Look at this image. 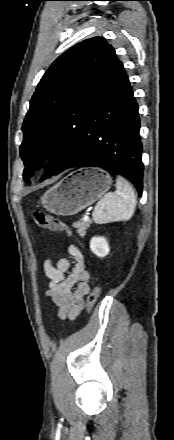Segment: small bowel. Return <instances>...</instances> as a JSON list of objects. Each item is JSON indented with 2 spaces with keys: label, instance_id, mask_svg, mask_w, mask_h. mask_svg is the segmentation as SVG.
<instances>
[{
  "label": "small bowel",
  "instance_id": "1",
  "mask_svg": "<svg viewBox=\"0 0 174 440\" xmlns=\"http://www.w3.org/2000/svg\"><path fill=\"white\" fill-rule=\"evenodd\" d=\"M69 257L56 262L47 259L44 271L48 278L49 297L58 309L60 319H75L85 307V296L89 293L90 274L84 267L80 250L71 245Z\"/></svg>",
  "mask_w": 174,
  "mask_h": 440
}]
</instances>
